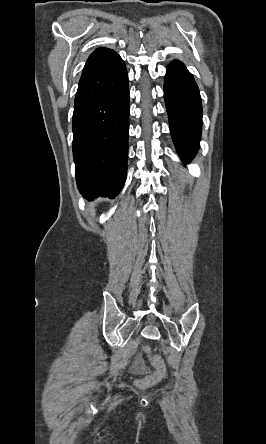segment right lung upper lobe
I'll list each match as a JSON object with an SVG mask.
<instances>
[{
    "mask_svg": "<svg viewBox=\"0 0 266 444\" xmlns=\"http://www.w3.org/2000/svg\"><path fill=\"white\" fill-rule=\"evenodd\" d=\"M118 57V54L108 48H98L96 49L88 58L79 84L89 80L90 78L97 75L105 67H107L114 59Z\"/></svg>",
    "mask_w": 266,
    "mask_h": 444,
    "instance_id": "right-lung-upper-lobe-1",
    "label": "right lung upper lobe"
}]
</instances>
